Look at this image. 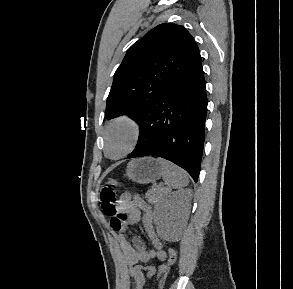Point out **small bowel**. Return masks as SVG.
<instances>
[{
    "instance_id": "c3829d8e",
    "label": "small bowel",
    "mask_w": 293,
    "mask_h": 289,
    "mask_svg": "<svg viewBox=\"0 0 293 289\" xmlns=\"http://www.w3.org/2000/svg\"><path fill=\"white\" fill-rule=\"evenodd\" d=\"M154 217L153 207L140 197H132L129 193H123L119 197L118 215L115 219L123 224V228L116 230L118 232L116 239L124 255L128 273L133 280L132 289H143L146 277L151 278L159 273L163 264L156 268L148 264L151 260L163 262L167 257L163 242L158 237L153 225ZM113 220L114 218L111 217L110 224L114 229ZM140 221H142L153 246L152 250L147 249L145 242L140 237L134 236L131 241H128L122 232L125 226L134 227Z\"/></svg>"
}]
</instances>
